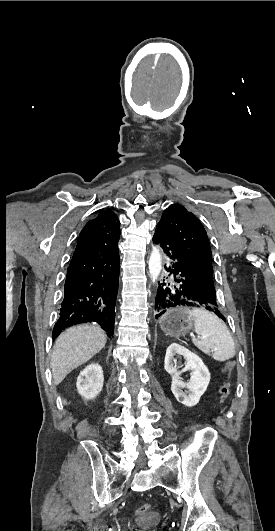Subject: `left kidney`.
<instances>
[{
	"mask_svg": "<svg viewBox=\"0 0 275 531\" xmlns=\"http://www.w3.org/2000/svg\"><path fill=\"white\" fill-rule=\"evenodd\" d=\"M174 355L185 357L187 363L182 371H177L176 367H173ZM164 369L172 375L171 391L178 403H182L185 407L197 405L210 383V373L200 357L185 347L172 343L166 351ZM184 371H193L189 383L180 381V375ZM181 389H189V391L182 393Z\"/></svg>",
	"mask_w": 275,
	"mask_h": 531,
	"instance_id": "obj_1",
	"label": "left kidney"
}]
</instances>
